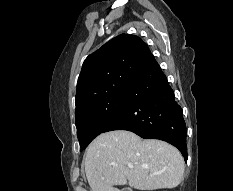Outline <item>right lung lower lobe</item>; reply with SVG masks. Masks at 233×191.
<instances>
[{"mask_svg":"<svg viewBox=\"0 0 233 191\" xmlns=\"http://www.w3.org/2000/svg\"><path fill=\"white\" fill-rule=\"evenodd\" d=\"M126 108L102 131L128 130L148 139L164 140L177 147L185 161L186 125L181 107L165 74L152 57L128 91Z\"/></svg>","mask_w":233,"mask_h":191,"instance_id":"1","label":"right lung lower lobe"}]
</instances>
